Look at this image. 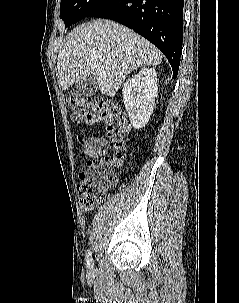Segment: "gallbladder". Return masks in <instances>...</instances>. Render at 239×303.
<instances>
[{"instance_id": "gallbladder-1", "label": "gallbladder", "mask_w": 239, "mask_h": 303, "mask_svg": "<svg viewBox=\"0 0 239 303\" xmlns=\"http://www.w3.org/2000/svg\"><path fill=\"white\" fill-rule=\"evenodd\" d=\"M76 89L85 96H92L98 89V81L95 76L90 75L76 82Z\"/></svg>"}]
</instances>
